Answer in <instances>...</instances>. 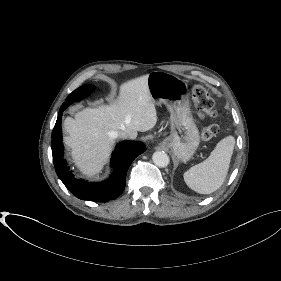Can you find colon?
Segmentation results:
<instances>
[{
    "label": "colon",
    "mask_w": 281,
    "mask_h": 281,
    "mask_svg": "<svg viewBox=\"0 0 281 281\" xmlns=\"http://www.w3.org/2000/svg\"><path fill=\"white\" fill-rule=\"evenodd\" d=\"M192 96L196 103L197 109L208 118H215L217 110L215 109V102L207 89L203 86L196 85L192 89ZM219 132L217 124L212 123L204 127L201 137L204 141L213 139Z\"/></svg>",
    "instance_id": "obj_1"
}]
</instances>
